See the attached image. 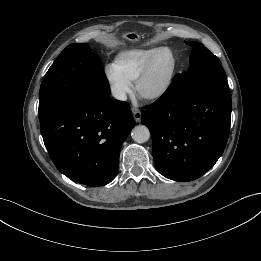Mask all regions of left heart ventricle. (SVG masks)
Returning a JSON list of instances; mask_svg holds the SVG:
<instances>
[{"label": "left heart ventricle", "mask_w": 261, "mask_h": 261, "mask_svg": "<svg viewBox=\"0 0 261 261\" xmlns=\"http://www.w3.org/2000/svg\"><path fill=\"white\" fill-rule=\"evenodd\" d=\"M172 67V57L167 51L161 52L155 59L146 84L147 88L159 86L167 78Z\"/></svg>", "instance_id": "left-heart-ventricle-1"}]
</instances>
